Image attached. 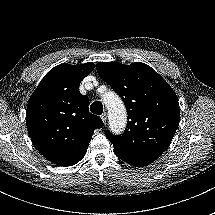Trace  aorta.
I'll list each match as a JSON object with an SVG mask.
<instances>
[{
    "label": "aorta",
    "mask_w": 215,
    "mask_h": 215,
    "mask_svg": "<svg viewBox=\"0 0 215 215\" xmlns=\"http://www.w3.org/2000/svg\"><path fill=\"white\" fill-rule=\"evenodd\" d=\"M105 103L111 118L115 119L116 129L119 128V125L124 126L126 123V110L121 99L118 96L109 95ZM116 116H118V119H116Z\"/></svg>",
    "instance_id": "762f6f07"
}]
</instances>
